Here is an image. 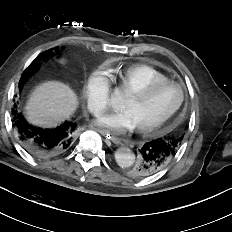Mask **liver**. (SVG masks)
Masks as SVG:
<instances>
[{
  "label": "liver",
  "instance_id": "1",
  "mask_svg": "<svg viewBox=\"0 0 232 232\" xmlns=\"http://www.w3.org/2000/svg\"><path fill=\"white\" fill-rule=\"evenodd\" d=\"M77 105V96L69 86L48 81L33 91L26 104L25 114L32 124L52 127L68 118Z\"/></svg>",
  "mask_w": 232,
  "mask_h": 232
}]
</instances>
